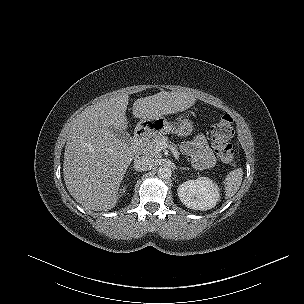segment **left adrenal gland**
<instances>
[{"mask_svg":"<svg viewBox=\"0 0 304 304\" xmlns=\"http://www.w3.org/2000/svg\"><path fill=\"white\" fill-rule=\"evenodd\" d=\"M188 167H181L180 170H188Z\"/></svg>","mask_w":304,"mask_h":304,"instance_id":"1","label":"left adrenal gland"}]
</instances>
